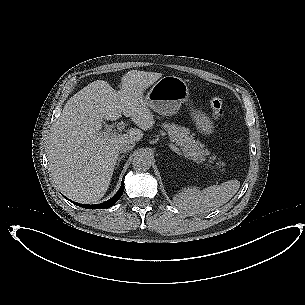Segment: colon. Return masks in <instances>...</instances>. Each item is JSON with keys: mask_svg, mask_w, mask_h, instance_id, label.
Wrapping results in <instances>:
<instances>
[{"mask_svg": "<svg viewBox=\"0 0 305 305\" xmlns=\"http://www.w3.org/2000/svg\"><path fill=\"white\" fill-rule=\"evenodd\" d=\"M212 115L215 119L220 120L224 116L223 100L220 97H215L210 101Z\"/></svg>", "mask_w": 305, "mask_h": 305, "instance_id": "5ec220e1", "label": "colon"}]
</instances>
